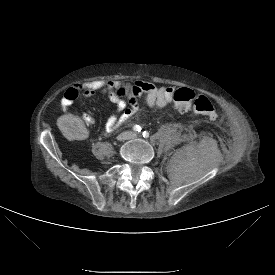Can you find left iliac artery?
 <instances>
[{"label": "left iliac artery", "mask_w": 275, "mask_h": 275, "mask_svg": "<svg viewBox=\"0 0 275 275\" xmlns=\"http://www.w3.org/2000/svg\"><path fill=\"white\" fill-rule=\"evenodd\" d=\"M143 137H144V138H148V137H149V133L146 132V131H144V132H143Z\"/></svg>", "instance_id": "44dca946"}]
</instances>
